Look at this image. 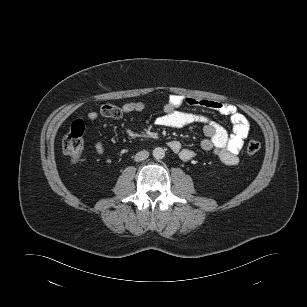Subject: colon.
Returning a JSON list of instances; mask_svg holds the SVG:
<instances>
[{"instance_id":"colon-1","label":"colon","mask_w":307,"mask_h":307,"mask_svg":"<svg viewBox=\"0 0 307 307\" xmlns=\"http://www.w3.org/2000/svg\"><path fill=\"white\" fill-rule=\"evenodd\" d=\"M85 127L82 121H75L69 132L64 136L62 142L63 152L72 160H79L84 146L83 136ZM261 144L257 140H249L246 145V152L250 155L260 150Z\"/></svg>"}]
</instances>
